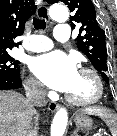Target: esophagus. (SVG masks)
Wrapping results in <instances>:
<instances>
[{
	"mask_svg": "<svg viewBox=\"0 0 117 136\" xmlns=\"http://www.w3.org/2000/svg\"><path fill=\"white\" fill-rule=\"evenodd\" d=\"M37 16L41 19H44L46 21H50L49 13H48V8L45 4H41L37 8ZM48 108L50 111H56L60 108V105L56 102H50L48 105Z\"/></svg>",
	"mask_w": 117,
	"mask_h": 136,
	"instance_id": "obj_1",
	"label": "esophagus"
}]
</instances>
